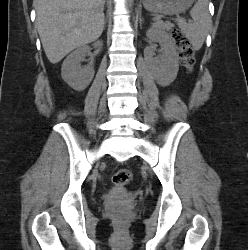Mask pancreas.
I'll return each instance as SVG.
<instances>
[{
    "mask_svg": "<svg viewBox=\"0 0 248 250\" xmlns=\"http://www.w3.org/2000/svg\"><path fill=\"white\" fill-rule=\"evenodd\" d=\"M155 26L161 28V29H166V30H170L173 27V24H171L170 22H163L161 20H158L155 24Z\"/></svg>",
    "mask_w": 248,
    "mask_h": 250,
    "instance_id": "pancreas-1",
    "label": "pancreas"
}]
</instances>
